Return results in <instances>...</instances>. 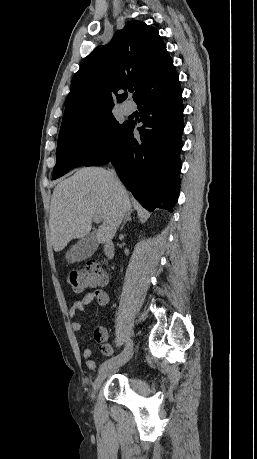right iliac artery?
<instances>
[{
  "label": "right iliac artery",
  "mask_w": 257,
  "mask_h": 459,
  "mask_svg": "<svg viewBox=\"0 0 257 459\" xmlns=\"http://www.w3.org/2000/svg\"><path fill=\"white\" fill-rule=\"evenodd\" d=\"M132 346H133V343H132L131 339H127L124 350L119 355L114 356V357L106 360L105 362H103L99 367V373L101 371L107 369L111 365L119 362L130 351Z\"/></svg>",
  "instance_id": "1"
}]
</instances>
